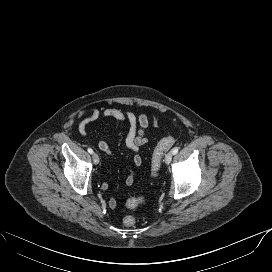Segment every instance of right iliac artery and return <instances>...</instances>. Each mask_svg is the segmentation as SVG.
<instances>
[{"instance_id": "82829eb1", "label": "right iliac artery", "mask_w": 272, "mask_h": 272, "mask_svg": "<svg viewBox=\"0 0 272 272\" xmlns=\"http://www.w3.org/2000/svg\"><path fill=\"white\" fill-rule=\"evenodd\" d=\"M87 150H88V152H89L90 154L93 153V150H92L91 148H88Z\"/></svg>"}]
</instances>
